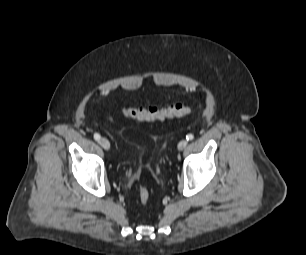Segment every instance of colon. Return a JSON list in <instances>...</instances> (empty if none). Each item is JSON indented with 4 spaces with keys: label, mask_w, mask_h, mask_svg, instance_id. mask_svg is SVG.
<instances>
[{
    "label": "colon",
    "mask_w": 306,
    "mask_h": 255,
    "mask_svg": "<svg viewBox=\"0 0 306 255\" xmlns=\"http://www.w3.org/2000/svg\"><path fill=\"white\" fill-rule=\"evenodd\" d=\"M120 112L124 117L149 122L184 117L190 114L191 109L183 103H172L163 108L125 106ZM138 195L140 203L146 205L150 199L149 190L145 186L139 185Z\"/></svg>",
    "instance_id": "5ec220e1"
}]
</instances>
